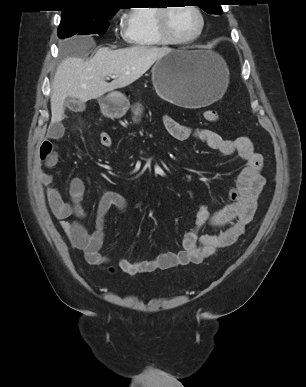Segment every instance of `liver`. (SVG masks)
I'll use <instances>...</instances> for the list:
<instances>
[{"label": "liver", "instance_id": "1", "mask_svg": "<svg viewBox=\"0 0 306 387\" xmlns=\"http://www.w3.org/2000/svg\"><path fill=\"white\" fill-rule=\"evenodd\" d=\"M170 51L166 47L134 46L117 50L101 47L89 60L80 57L64 59L52 83L51 122L63 119V105L67 97L87 102L107 92L124 88L138 80ZM111 75L115 78L108 83L105 78Z\"/></svg>", "mask_w": 306, "mask_h": 387}]
</instances>
